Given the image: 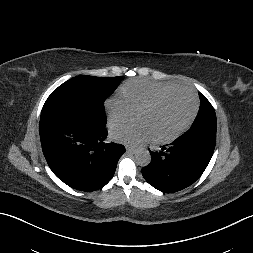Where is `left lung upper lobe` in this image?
<instances>
[{"label": "left lung upper lobe", "instance_id": "1", "mask_svg": "<svg viewBox=\"0 0 253 253\" xmlns=\"http://www.w3.org/2000/svg\"><path fill=\"white\" fill-rule=\"evenodd\" d=\"M201 105L191 128L179 138H196L208 145L216 144V114L214 108L203 94H199Z\"/></svg>", "mask_w": 253, "mask_h": 253}]
</instances>
